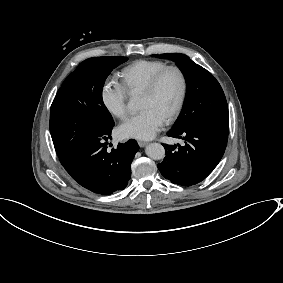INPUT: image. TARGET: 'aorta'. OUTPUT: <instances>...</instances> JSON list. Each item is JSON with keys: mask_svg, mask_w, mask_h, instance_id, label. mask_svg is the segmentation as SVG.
Segmentation results:
<instances>
[{"mask_svg": "<svg viewBox=\"0 0 283 283\" xmlns=\"http://www.w3.org/2000/svg\"><path fill=\"white\" fill-rule=\"evenodd\" d=\"M130 108H136V100L132 99L129 102ZM145 153L153 160H161L165 157V149L159 143H151L145 148Z\"/></svg>", "mask_w": 283, "mask_h": 283, "instance_id": "762f6f07", "label": "aorta"}]
</instances>
